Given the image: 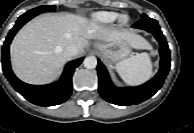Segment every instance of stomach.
<instances>
[{"label":"stomach","mask_w":194,"mask_h":133,"mask_svg":"<svg viewBox=\"0 0 194 133\" xmlns=\"http://www.w3.org/2000/svg\"><path fill=\"white\" fill-rule=\"evenodd\" d=\"M94 47L108 62H117L131 53L130 45L124 40L109 43L97 42L94 44Z\"/></svg>","instance_id":"0dacf381"}]
</instances>
